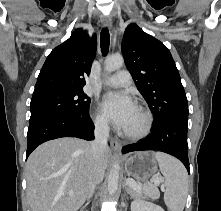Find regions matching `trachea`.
I'll return each instance as SVG.
<instances>
[{
    "instance_id": "trachea-1",
    "label": "trachea",
    "mask_w": 221,
    "mask_h": 211,
    "mask_svg": "<svg viewBox=\"0 0 221 211\" xmlns=\"http://www.w3.org/2000/svg\"><path fill=\"white\" fill-rule=\"evenodd\" d=\"M110 44V35L108 28H103L100 35V46L103 56L108 53Z\"/></svg>"
}]
</instances>
